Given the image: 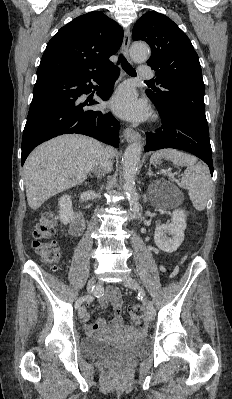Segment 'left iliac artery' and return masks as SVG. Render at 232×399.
I'll use <instances>...</instances> for the list:
<instances>
[{
	"label": "left iliac artery",
	"mask_w": 232,
	"mask_h": 399,
	"mask_svg": "<svg viewBox=\"0 0 232 399\" xmlns=\"http://www.w3.org/2000/svg\"><path fill=\"white\" fill-rule=\"evenodd\" d=\"M144 297H145V291H144V289L142 287H140L138 289V292H137V299L141 300ZM149 305L153 308V302L152 301L149 303Z\"/></svg>",
	"instance_id": "obj_1"
}]
</instances>
